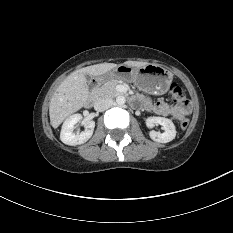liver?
<instances>
[{"label":"liver","mask_w":233,"mask_h":233,"mask_svg":"<svg viewBox=\"0 0 233 233\" xmlns=\"http://www.w3.org/2000/svg\"><path fill=\"white\" fill-rule=\"evenodd\" d=\"M124 64L132 67H142L146 62L128 61ZM114 63H101L81 68L71 73L56 89L49 105L50 122L57 128L65 118L81 109L88 99L89 89L86 75L99 76L116 68Z\"/></svg>","instance_id":"1"}]
</instances>
